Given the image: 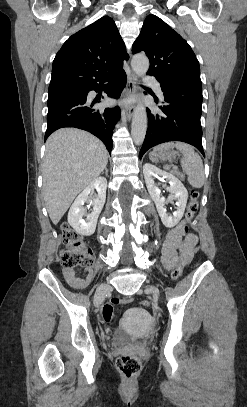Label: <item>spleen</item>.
Here are the masks:
<instances>
[{"mask_svg": "<svg viewBox=\"0 0 247 407\" xmlns=\"http://www.w3.org/2000/svg\"><path fill=\"white\" fill-rule=\"evenodd\" d=\"M174 147L183 154L181 166L183 172L188 176V183L194 188H201L205 181L204 166L202 159L190 145L182 142H167L155 147L154 151L167 150ZM166 168L168 169V166Z\"/></svg>", "mask_w": 247, "mask_h": 407, "instance_id": "spleen-1", "label": "spleen"}]
</instances>
